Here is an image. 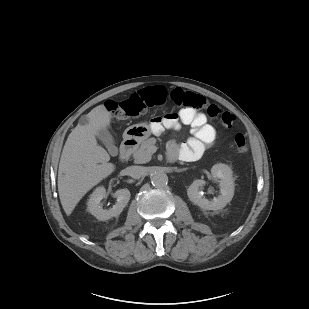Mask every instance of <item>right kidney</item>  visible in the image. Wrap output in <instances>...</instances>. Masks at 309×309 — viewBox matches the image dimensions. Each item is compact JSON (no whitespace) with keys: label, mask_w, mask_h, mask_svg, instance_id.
<instances>
[{"label":"right kidney","mask_w":309,"mask_h":309,"mask_svg":"<svg viewBox=\"0 0 309 309\" xmlns=\"http://www.w3.org/2000/svg\"><path fill=\"white\" fill-rule=\"evenodd\" d=\"M113 196L117 199L116 204L111 209L104 210L101 200L106 197V189L104 187H97L88 201V211L98 220L102 221L119 216L128 204L131 194L128 189H119Z\"/></svg>","instance_id":"ca27d5eb"}]
</instances>
